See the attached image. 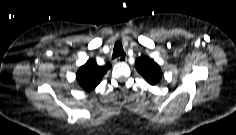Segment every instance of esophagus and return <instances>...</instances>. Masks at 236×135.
Here are the masks:
<instances>
[{
  "instance_id": "esophagus-1",
  "label": "esophagus",
  "mask_w": 236,
  "mask_h": 135,
  "mask_svg": "<svg viewBox=\"0 0 236 135\" xmlns=\"http://www.w3.org/2000/svg\"><path fill=\"white\" fill-rule=\"evenodd\" d=\"M126 61H127V58L125 56H119L115 60V62H120V63H124Z\"/></svg>"
}]
</instances>
